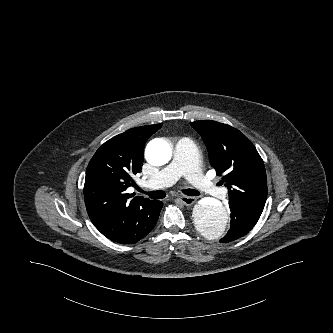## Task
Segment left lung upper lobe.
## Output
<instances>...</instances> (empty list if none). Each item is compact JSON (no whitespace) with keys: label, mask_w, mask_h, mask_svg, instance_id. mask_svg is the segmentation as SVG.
Segmentation results:
<instances>
[{"label":"left lung upper lobe","mask_w":333,"mask_h":333,"mask_svg":"<svg viewBox=\"0 0 333 333\" xmlns=\"http://www.w3.org/2000/svg\"><path fill=\"white\" fill-rule=\"evenodd\" d=\"M191 126L202 136L209 162L228 189L229 206L262 213L267 198L264 163L255 146L239 130L216 121H195Z\"/></svg>","instance_id":"5c2ea615"}]
</instances>
